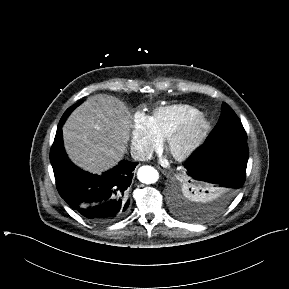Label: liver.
I'll list each match as a JSON object with an SVG mask.
<instances>
[{
    "mask_svg": "<svg viewBox=\"0 0 289 289\" xmlns=\"http://www.w3.org/2000/svg\"><path fill=\"white\" fill-rule=\"evenodd\" d=\"M131 114L118 98L97 94L77 107L63 126L69 158L80 168L100 174L115 166L126 153Z\"/></svg>",
    "mask_w": 289,
    "mask_h": 289,
    "instance_id": "1",
    "label": "liver"
}]
</instances>
